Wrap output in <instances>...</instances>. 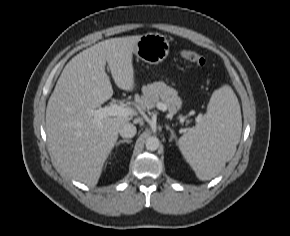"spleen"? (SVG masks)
<instances>
[{"instance_id": "obj_1", "label": "spleen", "mask_w": 290, "mask_h": 236, "mask_svg": "<svg viewBox=\"0 0 290 236\" xmlns=\"http://www.w3.org/2000/svg\"><path fill=\"white\" fill-rule=\"evenodd\" d=\"M242 130L240 105L229 86L215 90L206 114L180 137L178 146L200 180L219 174L236 152Z\"/></svg>"}]
</instances>
